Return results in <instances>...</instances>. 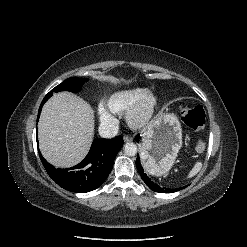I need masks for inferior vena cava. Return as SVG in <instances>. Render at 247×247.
Instances as JSON below:
<instances>
[{
    "label": "inferior vena cava",
    "instance_id": "obj_1",
    "mask_svg": "<svg viewBox=\"0 0 247 247\" xmlns=\"http://www.w3.org/2000/svg\"><path fill=\"white\" fill-rule=\"evenodd\" d=\"M118 126L113 124V123H102L99 126V134L103 138H113L117 135L118 133Z\"/></svg>",
    "mask_w": 247,
    "mask_h": 247
}]
</instances>
